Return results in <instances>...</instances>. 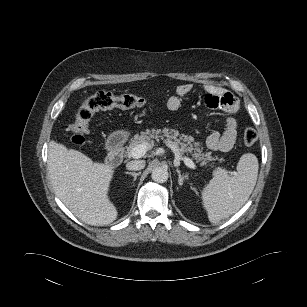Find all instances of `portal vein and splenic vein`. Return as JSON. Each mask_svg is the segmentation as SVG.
Wrapping results in <instances>:
<instances>
[{
  "instance_id": "obj_1",
  "label": "portal vein and splenic vein",
  "mask_w": 307,
  "mask_h": 307,
  "mask_svg": "<svg viewBox=\"0 0 307 307\" xmlns=\"http://www.w3.org/2000/svg\"><path fill=\"white\" fill-rule=\"evenodd\" d=\"M148 144L146 143H143V144H139L137 145L136 147H134L131 151V154L130 156L133 157V158H141L145 155V153L147 152V149H148ZM183 160L184 161V164L191 168V169H196V165L195 163L188 157H184V158H180L179 154H175V160H174V163L175 164H179L180 160Z\"/></svg>"
}]
</instances>
